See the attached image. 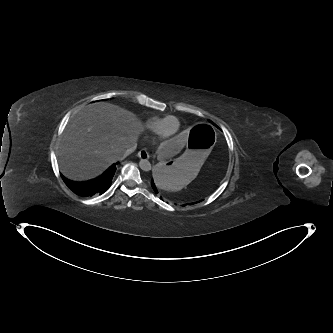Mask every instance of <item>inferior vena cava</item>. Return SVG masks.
Masks as SVG:
<instances>
[{
  "mask_svg": "<svg viewBox=\"0 0 333 333\" xmlns=\"http://www.w3.org/2000/svg\"><path fill=\"white\" fill-rule=\"evenodd\" d=\"M135 149H136V146L127 149L121 156L117 157L116 160L118 161V160L125 159L128 155L133 153L135 151Z\"/></svg>",
  "mask_w": 333,
  "mask_h": 333,
  "instance_id": "1",
  "label": "inferior vena cava"
}]
</instances>
